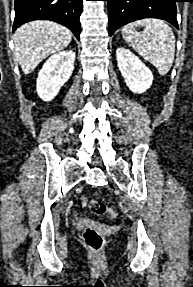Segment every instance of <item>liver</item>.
Listing matches in <instances>:
<instances>
[{"instance_id": "1", "label": "liver", "mask_w": 193, "mask_h": 287, "mask_svg": "<svg viewBox=\"0 0 193 287\" xmlns=\"http://www.w3.org/2000/svg\"><path fill=\"white\" fill-rule=\"evenodd\" d=\"M72 33L51 21H32L14 33L15 55L25 74H30L49 55L65 49Z\"/></svg>"}]
</instances>
